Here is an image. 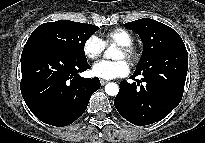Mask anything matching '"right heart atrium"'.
Returning <instances> with one entry per match:
<instances>
[{
	"label": "right heart atrium",
	"instance_id": "d8ad5b80",
	"mask_svg": "<svg viewBox=\"0 0 205 143\" xmlns=\"http://www.w3.org/2000/svg\"><path fill=\"white\" fill-rule=\"evenodd\" d=\"M105 46L100 38L90 35L83 43L82 51L89 60L98 59L104 52Z\"/></svg>",
	"mask_w": 205,
	"mask_h": 143
}]
</instances>
